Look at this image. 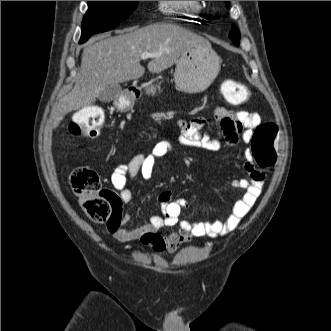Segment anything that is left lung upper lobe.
<instances>
[{"label": "left lung upper lobe", "mask_w": 331, "mask_h": 331, "mask_svg": "<svg viewBox=\"0 0 331 331\" xmlns=\"http://www.w3.org/2000/svg\"><path fill=\"white\" fill-rule=\"evenodd\" d=\"M225 3H226V6L228 7L229 6V1H225ZM229 37L232 39V41L235 44H239L240 32H239L238 28L234 24L232 25V30L229 33Z\"/></svg>", "instance_id": "obj_1"}]
</instances>
